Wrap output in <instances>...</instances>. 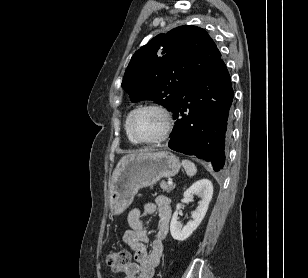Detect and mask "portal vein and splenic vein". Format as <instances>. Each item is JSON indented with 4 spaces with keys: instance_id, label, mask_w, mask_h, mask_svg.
I'll return each instance as SVG.
<instances>
[{
    "instance_id": "1",
    "label": "portal vein and splenic vein",
    "mask_w": 308,
    "mask_h": 278,
    "mask_svg": "<svg viewBox=\"0 0 308 278\" xmlns=\"http://www.w3.org/2000/svg\"><path fill=\"white\" fill-rule=\"evenodd\" d=\"M168 185H173V182L172 181H168Z\"/></svg>"
}]
</instances>
